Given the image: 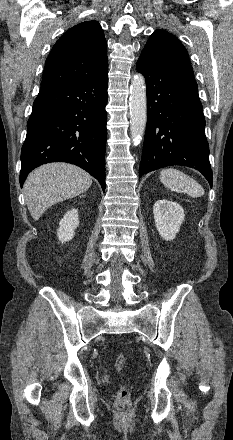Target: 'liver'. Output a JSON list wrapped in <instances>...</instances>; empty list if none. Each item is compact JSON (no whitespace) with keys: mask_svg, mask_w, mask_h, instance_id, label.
Wrapping results in <instances>:
<instances>
[{"mask_svg":"<svg viewBox=\"0 0 233 440\" xmlns=\"http://www.w3.org/2000/svg\"><path fill=\"white\" fill-rule=\"evenodd\" d=\"M91 184L92 177L75 165H42L32 171L24 183L28 210L37 221L49 207L85 192Z\"/></svg>","mask_w":233,"mask_h":440,"instance_id":"liver-1","label":"liver"}]
</instances>
